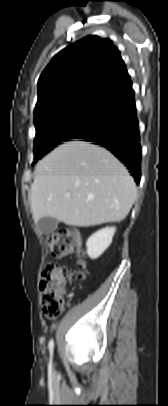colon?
Masks as SVG:
<instances>
[{"instance_id":"5ec220e1","label":"colon","mask_w":168,"mask_h":406,"mask_svg":"<svg viewBox=\"0 0 168 406\" xmlns=\"http://www.w3.org/2000/svg\"><path fill=\"white\" fill-rule=\"evenodd\" d=\"M53 258H64L81 250V238L74 229L60 228L47 239ZM86 265L80 261L75 270L49 261L44 265L39 279V293L43 314L49 319L59 317L63 310L65 284L69 280L84 278Z\"/></svg>"}]
</instances>
